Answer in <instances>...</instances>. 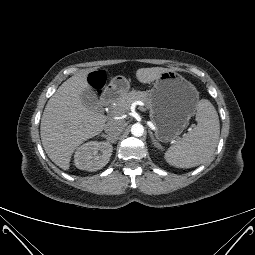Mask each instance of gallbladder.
Here are the masks:
<instances>
[{"label": "gallbladder", "instance_id": "obj_1", "mask_svg": "<svg viewBox=\"0 0 255 255\" xmlns=\"http://www.w3.org/2000/svg\"><path fill=\"white\" fill-rule=\"evenodd\" d=\"M81 100L86 107L91 109H95L98 104V98L91 90H84L81 94Z\"/></svg>", "mask_w": 255, "mask_h": 255}]
</instances>
